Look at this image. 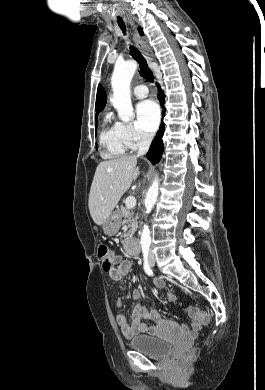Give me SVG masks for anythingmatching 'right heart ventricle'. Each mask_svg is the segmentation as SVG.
<instances>
[{"instance_id": "e07e8e85", "label": "right heart ventricle", "mask_w": 265, "mask_h": 390, "mask_svg": "<svg viewBox=\"0 0 265 390\" xmlns=\"http://www.w3.org/2000/svg\"><path fill=\"white\" fill-rule=\"evenodd\" d=\"M102 156L113 159L124 155L129 148L124 140L121 124L114 121L112 114L107 113L103 119L100 133Z\"/></svg>"}]
</instances>
